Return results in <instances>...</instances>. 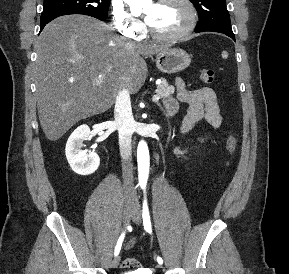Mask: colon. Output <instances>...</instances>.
<instances>
[{
    "instance_id": "obj_1",
    "label": "colon",
    "mask_w": 289,
    "mask_h": 274,
    "mask_svg": "<svg viewBox=\"0 0 289 274\" xmlns=\"http://www.w3.org/2000/svg\"><path fill=\"white\" fill-rule=\"evenodd\" d=\"M199 78L206 84H211L214 81V71L211 68L204 67L199 70ZM237 148V140L233 134H229L226 139V150L229 154H234ZM122 267L130 271H142L151 274L150 271L142 270L140 263L135 258H127L123 261Z\"/></svg>"
}]
</instances>
